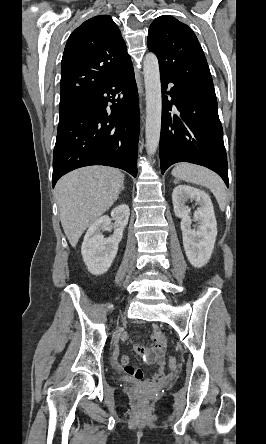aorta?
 Here are the masks:
<instances>
[{
	"label": "aorta",
	"mask_w": 266,
	"mask_h": 444,
	"mask_svg": "<svg viewBox=\"0 0 266 444\" xmlns=\"http://www.w3.org/2000/svg\"><path fill=\"white\" fill-rule=\"evenodd\" d=\"M146 92V150L149 156L155 154L160 139L162 94L159 63L154 53H147L143 61Z\"/></svg>",
	"instance_id": "1"
}]
</instances>
